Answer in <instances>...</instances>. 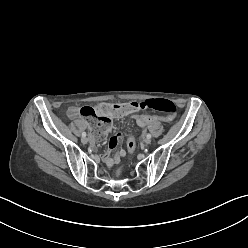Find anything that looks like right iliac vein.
<instances>
[{
  "mask_svg": "<svg viewBox=\"0 0 248 248\" xmlns=\"http://www.w3.org/2000/svg\"><path fill=\"white\" fill-rule=\"evenodd\" d=\"M81 142H82L83 144H87L88 139H87L86 137H82V138H81Z\"/></svg>",
  "mask_w": 248,
  "mask_h": 248,
  "instance_id": "obj_1",
  "label": "right iliac vein"
}]
</instances>
